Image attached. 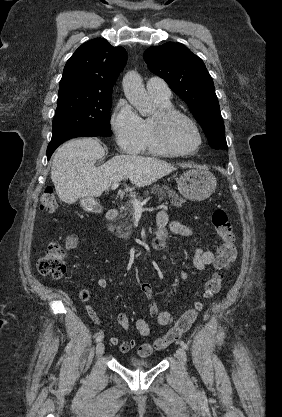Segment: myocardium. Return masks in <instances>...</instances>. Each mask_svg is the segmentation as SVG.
I'll return each instance as SVG.
<instances>
[{"label": "myocardium", "mask_w": 282, "mask_h": 417, "mask_svg": "<svg viewBox=\"0 0 282 417\" xmlns=\"http://www.w3.org/2000/svg\"><path fill=\"white\" fill-rule=\"evenodd\" d=\"M183 121L195 134L197 138V144L193 149L181 148L174 145L168 138L167 129L170 123L174 120ZM151 125L155 132V135L159 143L164 147L168 152L172 154L186 155L193 153L201 144L202 137L199 129L195 123L184 113L173 109V108H159L156 114L151 118Z\"/></svg>", "instance_id": "f54148a6"}]
</instances>
